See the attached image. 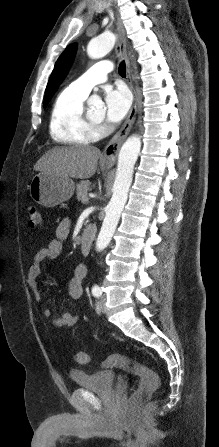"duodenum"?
Wrapping results in <instances>:
<instances>
[{
    "label": "duodenum",
    "instance_id": "1",
    "mask_svg": "<svg viewBox=\"0 0 219 447\" xmlns=\"http://www.w3.org/2000/svg\"><path fill=\"white\" fill-rule=\"evenodd\" d=\"M96 228L94 225H87L81 233L80 249L83 255H88L94 239Z\"/></svg>",
    "mask_w": 219,
    "mask_h": 447
}]
</instances>
